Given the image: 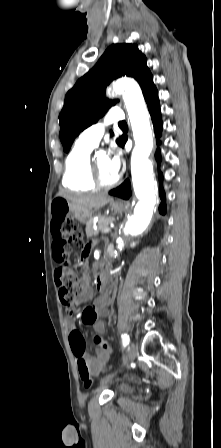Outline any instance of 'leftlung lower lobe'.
<instances>
[{
    "label": "left lung lower lobe",
    "instance_id": "0a47b994",
    "mask_svg": "<svg viewBox=\"0 0 221 448\" xmlns=\"http://www.w3.org/2000/svg\"><path fill=\"white\" fill-rule=\"evenodd\" d=\"M144 98L146 100V103L148 105V109L151 115V119L153 121L154 130L156 137L161 136L162 131V121H161V114H160V108H159V99H158V91L156 87H153L148 92L144 94ZM126 142V139L123 138L122 142L119 146L123 147ZM160 144V142H158ZM156 159L160 161V152L159 149L156 151ZM159 179H160V197H161V204L159 206V211L162 214L166 213V203H165V193L162 188V179L163 176L161 172H159ZM110 195L117 196L123 199H129L131 196V185L129 180H126L122 185L117 187L116 189H113L109 192Z\"/></svg>",
    "mask_w": 221,
    "mask_h": 448
}]
</instances>
